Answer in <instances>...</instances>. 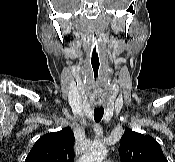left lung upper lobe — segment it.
Returning <instances> with one entry per match:
<instances>
[{"mask_svg": "<svg viewBox=\"0 0 175 162\" xmlns=\"http://www.w3.org/2000/svg\"><path fill=\"white\" fill-rule=\"evenodd\" d=\"M119 155L122 162H168L159 143L149 135L126 128L121 137Z\"/></svg>", "mask_w": 175, "mask_h": 162, "instance_id": "left-lung-upper-lobe-1", "label": "left lung upper lobe"}]
</instances>
